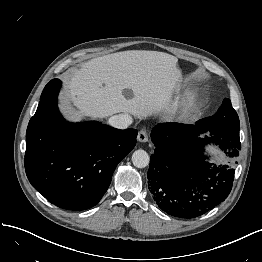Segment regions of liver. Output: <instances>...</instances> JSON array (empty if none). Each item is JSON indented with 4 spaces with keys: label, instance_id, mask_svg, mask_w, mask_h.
Wrapping results in <instances>:
<instances>
[{
    "label": "liver",
    "instance_id": "liver-1",
    "mask_svg": "<svg viewBox=\"0 0 262 262\" xmlns=\"http://www.w3.org/2000/svg\"><path fill=\"white\" fill-rule=\"evenodd\" d=\"M181 81L175 56L122 51L91 59L74 70L61 102L77 119H103L120 112L143 118L165 108ZM125 90L132 96L126 97Z\"/></svg>",
    "mask_w": 262,
    "mask_h": 262
}]
</instances>
